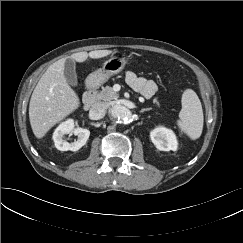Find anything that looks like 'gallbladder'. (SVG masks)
<instances>
[{"label": "gallbladder", "mask_w": 243, "mask_h": 243, "mask_svg": "<svg viewBox=\"0 0 243 243\" xmlns=\"http://www.w3.org/2000/svg\"><path fill=\"white\" fill-rule=\"evenodd\" d=\"M64 75L67 82L72 86H77V74L75 70V62L72 59L65 60Z\"/></svg>", "instance_id": "1"}]
</instances>
